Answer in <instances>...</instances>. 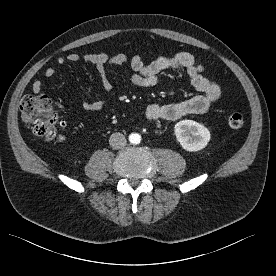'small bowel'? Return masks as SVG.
<instances>
[{
    "mask_svg": "<svg viewBox=\"0 0 276 276\" xmlns=\"http://www.w3.org/2000/svg\"><path fill=\"white\" fill-rule=\"evenodd\" d=\"M83 60L96 67L100 76L104 90L108 95L114 91V85L109 79L107 67L121 66L129 63L134 71L131 76V83L136 87L150 88L158 84L160 75L168 70H184L190 78L192 86L201 94L190 99L166 105L151 104L147 106L145 115L149 120H176L188 114H200L206 112L211 105L220 97V86L204 76V67L198 63L193 55L188 52H179L170 56H158L150 63H145L141 56L128 58L125 54L119 53L109 55L107 53H88L83 56L71 52L65 56L56 58L58 66L67 63H76ZM57 74L56 66H48L44 70V75L48 78ZM32 91L35 94L43 91V83L40 80L34 81ZM106 99L96 101H83L84 110L93 111L103 108Z\"/></svg>",
    "mask_w": 276,
    "mask_h": 276,
    "instance_id": "1",
    "label": "small bowel"
}]
</instances>
